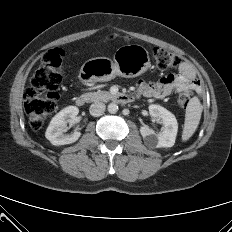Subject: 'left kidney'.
<instances>
[{"label":"left kidney","instance_id":"1","mask_svg":"<svg viewBox=\"0 0 232 232\" xmlns=\"http://www.w3.org/2000/svg\"><path fill=\"white\" fill-rule=\"evenodd\" d=\"M149 113L151 116L161 119L163 127L162 131L158 134L147 126L140 128V133L146 146L149 148L172 147L178 131V123L174 114L156 104L149 106Z\"/></svg>","mask_w":232,"mask_h":232}]
</instances>
